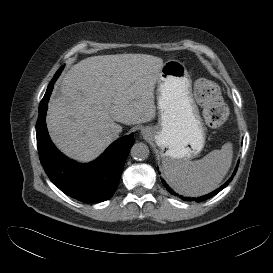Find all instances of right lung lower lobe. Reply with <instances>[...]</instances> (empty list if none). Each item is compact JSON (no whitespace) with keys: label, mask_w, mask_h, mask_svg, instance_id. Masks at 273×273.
I'll list each match as a JSON object with an SVG mask.
<instances>
[{"label":"right lung lower lobe","mask_w":273,"mask_h":273,"mask_svg":"<svg viewBox=\"0 0 273 273\" xmlns=\"http://www.w3.org/2000/svg\"><path fill=\"white\" fill-rule=\"evenodd\" d=\"M54 87L51 82L40 102L36 123L37 146L41 164L49 179L68 196L84 203H99L115 192L124 163L134 144L133 134L122 137L95 161L78 164L52 144L45 123L48 101Z\"/></svg>","instance_id":"98d812e1"}]
</instances>
